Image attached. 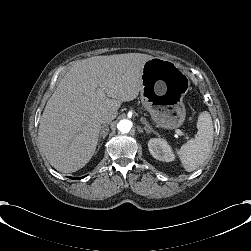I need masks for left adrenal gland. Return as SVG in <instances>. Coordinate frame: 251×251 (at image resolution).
<instances>
[{
  "instance_id": "a2214340",
  "label": "left adrenal gland",
  "mask_w": 251,
  "mask_h": 251,
  "mask_svg": "<svg viewBox=\"0 0 251 251\" xmlns=\"http://www.w3.org/2000/svg\"><path fill=\"white\" fill-rule=\"evenodd\" d=\"M141 122L144 124V130L147 132H154L156 135H158V132L152 128V126L149 124V122L144 118L143 116L141 117Z\"/></svg>"
}]
</instances>
